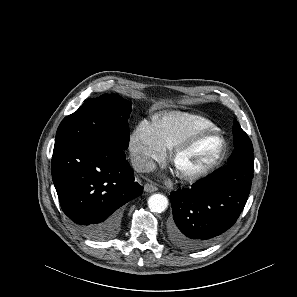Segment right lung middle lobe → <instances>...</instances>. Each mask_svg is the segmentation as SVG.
I'll return each instance as SVG.
<instances>
[{
	"label": "right lung middle lobe",
	"instance_id": "dd1d6c3e",
	"mask_svg": "<svg viewBox=\"0 0 297 297\" xmlns=\"http://www.w3.org/2000/svg\"><path fill=\"white\" fill-rule=\"evenodd\" d=\"M130 112L131 102L119 95L90 98L63 119L56 132L55 144L96 139L125 150L129 143Z\"/></svg>",
	"mask_w": 297,
	"mask_h": 297
}]
</instances>
